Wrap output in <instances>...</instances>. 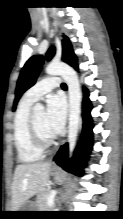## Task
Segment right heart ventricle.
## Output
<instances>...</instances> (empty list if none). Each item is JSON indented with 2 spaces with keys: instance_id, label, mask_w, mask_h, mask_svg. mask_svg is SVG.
Here are the masks:
<instances>
[{
  "instance_id": "e07e8e85",
  "label": "right heart ventricle",
  "mask_w": 123,
  "mask_h": 219,
  "mask_svg": "<svg viewBox=\"0 0 123 219\" xmlns=\"http://www.w3.org/2000/svg\"><path fill=\"white\" fill-rule=\"evenodd\" d=\"M32 104L22 99L14 118V142L18 158L23 163L37 162L43 155V151L35 145L30 130Z\"/></svg>"
}]
</instances>
